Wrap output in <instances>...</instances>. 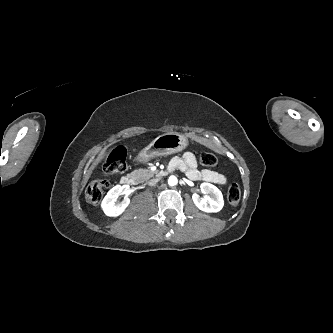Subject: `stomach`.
Wrapping results in <instances>:
<instances>
[{
    "label": "stomach",
    "mask_w": 333,
    "mask_h": 333,
    "mask_svg": "<svg viewBox=\"0 0 333 333\" xmlns=\"http://www.w3.org/2000/svg\"><path fill=\"white\" fill-rule=\"evenodd\" d=\"M188 145L186 138L179 133H165L158 136L149 146L143 149L137 156L139 162H147L150 159L181 152Z\"/></svg>",
    "instance_id": "1"
}]
</instances>
